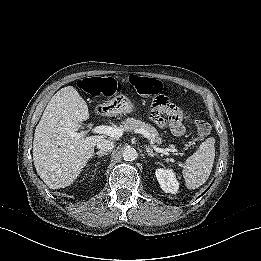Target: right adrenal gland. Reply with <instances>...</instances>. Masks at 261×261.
Segmentation results:
<instances>
[{"instance_id": "1", "label": "right adrenal gland", "mask_w": 261, "mask_h": 261, "mask_svg": "<svg viewBox=\"0 0 261 261\" xmlns=\"http://www.w3.org/2000/svg\"><path fill=\"white\" fill-rule=\"evenodd\" d=\"M95 155H97L98 158H100V157H102V156H104V155H107V153L102 152V151H98V152L94 153L92 156L94 157Z\"/></svg>"}]
</instances>
